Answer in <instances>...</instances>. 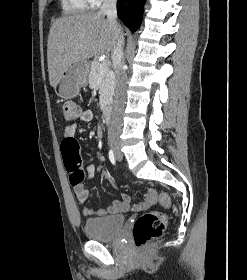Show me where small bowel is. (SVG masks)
Returning <instances> with one entry per match:
<instances>
[{"mask_svg": "<svg viewBox=\"0 0 247 280\" xmlns=\"http://www.w3.org/2000/svg\"><path fill=\"white\" fill-rule=\"evenodd\" d=\"M93 112L90 110L82 111L79 114L78 120L82 123H88L93 120ZM78 130V124L77 123H71L65 126V128L62 131V137L63 140L66 139H75L76 132ZM94 176V167L92 165H87L85 168V178L87 180L92 179ZM78 201L81 204H85L88 199L89 192L87 191H74ZM156 202V199H149L148 195L146 194L144 200L139 203L138 205L134 206L133 209L135 210H141L146 207H149L153 205ZM130 209V199L127 195H122L119 199L115 200L107 209L104 208H98V209H92L89 207H85L83 210V214L87 217L91 216H105L108 214H117L120 212H125Z\"/></svg>", "mask_w": 247, "mask_h": 280, "instance_id": "obj_1", "label": "small bowel"}]
</instances>
